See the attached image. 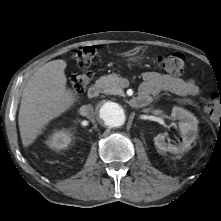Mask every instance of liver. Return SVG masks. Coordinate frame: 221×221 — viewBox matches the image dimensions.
Listing matches in <instances>:
<instances>
[{
  "instance_id": "obj_1",
  "label": "liver",
  "mask_w": 221,
  "mask_h": 221,
  "mask_svg": "<svg viewBox=\"0 0 221 221\" xmlns=\"http://www.w3.org/2000/svg\"><path fill=\"white\" fill-rule=\"evenodd\" d=\"M67 63L57 59L41 66L28 80L21 98L18 115L24 147L31 145L42 128L76 102V95L66 87Z\"/></svg>"
}]
</instances>
